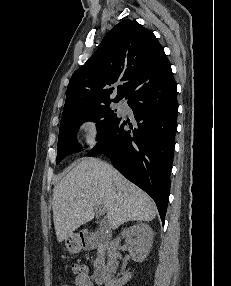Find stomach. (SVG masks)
<instances>
[{
  "label": "stomach",
  "instance_id": "0dacf381",
  "mask_svg": "<svg viewBox=\"0 0 231 286\" xmlns=\"http://www.w3.org/2000/svg\"><path fill=\"white\" fill-rule=\"evenodd\" d=\"M65 246L71 253H78L81 250V243L77 235L72 234L65 241Z\"/></svg>",
  "mask_w": 231,
  "mask_h": 286
}]
</instances>
